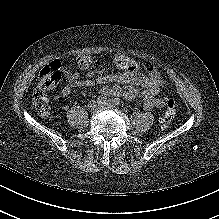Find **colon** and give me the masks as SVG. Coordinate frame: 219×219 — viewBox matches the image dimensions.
<instances>
[{
    "instance_id": "5ec220e1",
    "label": "colon",
    "mask_w": 219,
    "mask_h": 219,
    "mask_svg": "<svg viewBox=\"0 0 219 219\" xmlns=\"http://www.w3.org/2000/svg\"><path fill=\"white\" fill-rule=\"evenodd\" d=\"M90 65V63H89ZM61 79V63L58 60L50 62L38 74L34 85V100L37 108L42 114H47L50 106L47 102V93L54 89ZM166 111L162 118L163 127L169 126L175 117L174 100L165 97Z\"/></svg>"
}]
</instances>
